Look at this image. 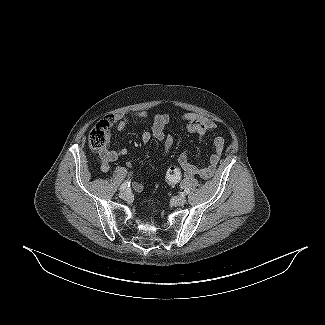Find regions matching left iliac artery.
<instances>
[{
	"label": "left iliac artery",
	"mask_w": 325,
	"mask_h": 325,
	"mask_svg": "<svg viewBox=\"0 0 325 325\" xmlns=\"http://www.w3.org/2000/svg\"><path fill=\"white\" fill-rule=\"evenodd\" d=\"M188 193H189V190L188 189L187 190L185 189L184 190V194H188Z\"/></svg>",
	"instance_id": "left-iliac-artery-1"
}]
</instances>
